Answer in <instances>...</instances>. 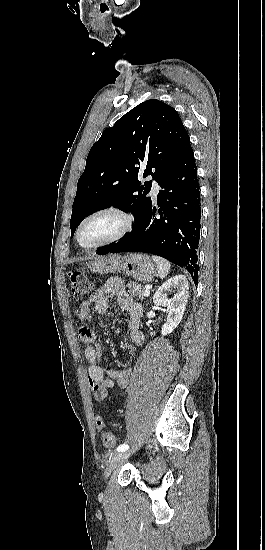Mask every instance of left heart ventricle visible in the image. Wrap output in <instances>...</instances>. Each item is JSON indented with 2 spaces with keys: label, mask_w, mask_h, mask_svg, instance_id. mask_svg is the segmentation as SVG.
Listing matches in <instances>:
<instances>
[{
  "label": "left heart ventricle",
  "mask_w": 265,
  "mask_h": 550,
  "mask_svg": "<svg viewBox=\"0 0 265 550\" xmlns=\"http://www.w3.org/2000/svg\"><path fill=\"white\" fill-rule=\"evenodd\" d=\"M119 219L113 215H99L89 220L81 229L79 240L81 245L90 246L113 235L119 228Z\"/></svg>",
  "instance_id": "left-heart-ventricle-1"
}]
</instances>
